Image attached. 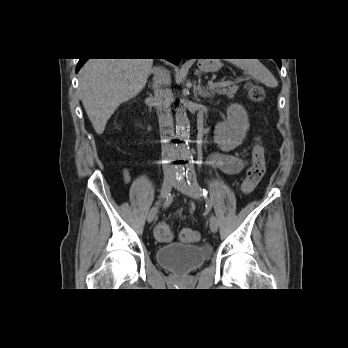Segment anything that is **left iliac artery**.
<instances>
[{
	"mask_svg": "<svg viewBox=\"0 0 348 348\" xmlns=\"http://www.w3.org/2000/svg\"><path fill=\"white\" fill-rule=\"evenodd\" d=\"M186 179L188 185L201 196L208 194V191L205 188L200 187L197 181L196 173L192 167H188L186 170Z\"/></svg>",
	"mask_w": 348,
	"mask_h": 348,
	"instance_id": "44dca946",
	"label": "left iliac artery"
}]
</instances>
